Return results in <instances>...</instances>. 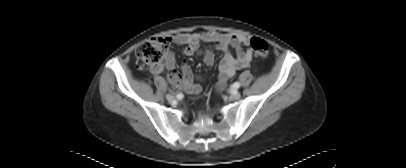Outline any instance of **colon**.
Masks as SVG:
<instances>
[{
    "instance_id": "colon-1",
    "label": "colon",
    "mask_w": 406,
    "mask_h": 168,
    "mask_svg": "<svg viewBox=\"0 0 406 168\" xmlns=\"http://www.w3.org/2000/svg\"><path fill=\"white\" fill-rule=\"evenodd\" d=\"M249 44L254 53L266 58L269 53L267 42L259 37H251ZM170 39L167 37H152L143 42L136 50V56L149 65L161 64L169 55Z\"/></svg>"
}]
</instances>
